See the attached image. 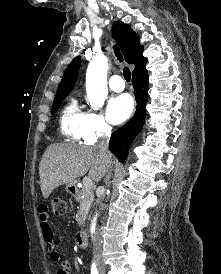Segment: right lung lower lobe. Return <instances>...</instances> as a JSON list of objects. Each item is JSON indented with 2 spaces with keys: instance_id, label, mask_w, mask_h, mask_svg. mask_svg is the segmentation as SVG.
<instances>
[{
  "instance_id": "1",
  "label": "right lung lower lobe",
  "mask_w": 221,
  "mask_h": 274,
  "mask_svg": "<svg viewBox=\"0 0 221 274\" xmlns=\"http://www.w3.org/2000/svg\"><path fill=\"white\" fill-rule=\"evenodd\" d=\"M132 84L134 86V93L137 101V111L130 121L112 133L109 141L110 151L118 156V159L121 162L125 161L128 147H130L133 139L141 131L144 124L145 104L148 95L147 70L133 75Z\"/></svg>"
}]
</instances>
